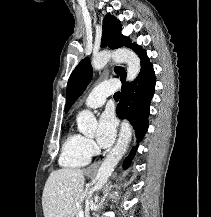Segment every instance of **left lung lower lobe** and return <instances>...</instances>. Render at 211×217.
<instances>
[{
    "instance_id": "0a47b994",
    "label": "left lung lower lobe",
    "mask_w": 211,
    "mask_h": 217,
    "mask_svg": "<svg viewBox=\"0 0 211 217\" xmlns=\"http://www.w3.org/2000/svg\"><path fill=\"white\" fill-rule=\"evenodd\" d=\"M155 82L152 64L144 67L133 82H123L121 100L117 106V115L119 118H126L131 122L137 141L142 140L149 125V106L154 94ZM137 147L138 145L133 147L126 158L125 168L129 166Z\"/></svg>"
}]
</instances>
